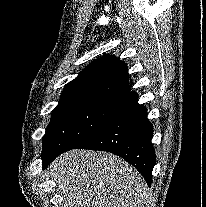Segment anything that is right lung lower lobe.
Masks as SVG:
<instances>
[{
  "instance_id": "obj_1",
  "label": "right lung lower lobe",
  "mask_w": 206,
  "mask_h": 207,
  "mask_svg": "<svg viewBox=\"0 0 206 207\" xmlns=\"http://www.w3.org/2000/svg\"><path fill=\"white\" fill-rule=\"evenodd\" d=\"M130 104L126 110L99 131H96L78 145L42 154L43 168L61 153L83 148L114 153L132 164L150 186L156 156L151 139L153 127L147 119V110L138 104V95L131 92Z\"/></svg>"
}]
</instances>
